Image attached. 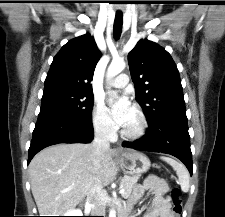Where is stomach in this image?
I'll use <instances>...</instances> for the list:
<instances>
[{"mask_svg":"<svg viewBox=\"0 0 225 217\" xmlns=\"http://www.w3.org/2000/svg\"><path fill=\"white\" fill-rule=\"evenodd\" d=\"M119 165L125 174L139 175L150 168V160L146 155L136 151H127L118 158Z\"/></svg>","mask_w":225,"mask_h":217,"instance_id":"0dacf381","label":"stomach"}]
</instances>
